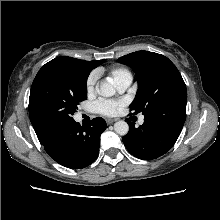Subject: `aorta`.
Instances as JSON below:
<instances>
[{
  "mask_svg": "<svg viewBox=\"0 0 220 220\" xmlns=\"http://www.w3.org/2000/svg\"><path fill=\"white\" fill-rule=\"evenodd\" d=\"M96 91L103 97H111L116 92L114 86L108 82L100 83V85L96 87ZM114 130L117 134L124 136L129 131V125L123 120L117 121L114 124Z\"/></svg>",
  "mask_w": 220,
  "mask_h": 220,
  "instance_id": "aorta-1",
  "label": "aorta"
}]
</instances>
